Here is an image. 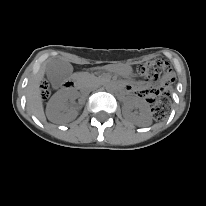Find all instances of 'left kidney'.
<instances>
[{
	"mask_svg": "<svg viewBox=\"0 0 206 206\" xmlns=\"http://www.w3.org/2000/svg\"><path fill=\"white\" fill-rule=\"evenodd\" d=\"M139 109L138 114L131 112L132 108ZM124 116L133 120L138 126L147 127L152 123L151 111L148 103L138 97H129L125 101Z\"/></svg>",
	"mask_w": 206,
	"mask_h": 206,
	"instance_id": "5707ae66",
	"label": "left kidney"
}]
</instances>
